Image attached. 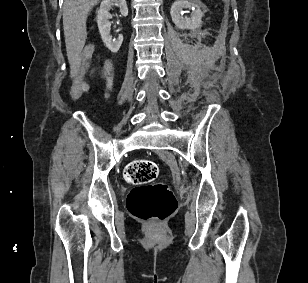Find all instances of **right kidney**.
Returning <instances> with one entry per match:
<instances>
[{
  "instance_id": "ca27d5eb",
  "label": "right kidney",
  "mask_w": 308,
  "mask_h": 283,
  "mask_svg": "<svg viewBox=\"0 0 308 283\" xmlns=\"http://www.w3.org/2000/svg\"><path fill=\"white\" fill-rule=\"evenodd\" d=\"M113 5L120 8L122 16L128 15L126 0H103L97 12V24L104 44L111 52L116 53L121 47L123 36L119 35L117 39H112L110 36L111 23L109 19L111 18V15L109 10Z\"/></svg>"
}]
</instances>
